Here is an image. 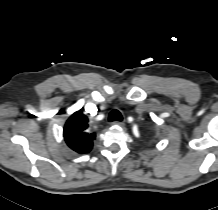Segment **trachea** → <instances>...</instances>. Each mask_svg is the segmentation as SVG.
<instances>
[{
  "label": "trachea",
  "instance_id": "3493384b",
  "mask_svg": "<svg viewBox=\"0 0 218 210\" xmlns=\"http://www.w3.org/2000/svg\"><path fill=\"white\" fill-rule=\"evenodd\" d=\"M108 119L110 122H112V121H122L123 118L121 113L118 110L114 109L110 112Z\"/></svg>",
  "mask_w": 218,
  "mask_h": 210
}]
</instances>
